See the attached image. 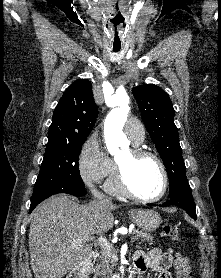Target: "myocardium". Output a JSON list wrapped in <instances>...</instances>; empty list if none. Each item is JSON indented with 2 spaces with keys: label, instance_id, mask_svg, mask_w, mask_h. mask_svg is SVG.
Returning a JSON list of instances; mask_svg holds the SVG:
<instances>
[{
  "label": "myocardium",
  "instance_id": "1",
  "mask_svg": "<svg viewBox=\"0 0 221 278\" xmlns=\"http://www.w3.org/2000/svg\"><path fill=\"white\" fill-rule=\"evenodd\" d=\"M130 154H131L132 158H134V159L149 157L156 161V163L158 164V166L161 170V173H162V178H163L162 189L158 195L153 196V197H145V196H141V195L137 194L133 190V188L131 187V185L127 179L125 168L122 165H120L118 162H116L115 178H116V184H117L119 190L125 196H127L133 200H137V201H141V202L152 203V202H157V201L161 200L167 193V190L169 187V175H168V171H167V168H166L163 160L156 153H154L150 150H147V149L139 148V147L131 148Z\"/></svg>",
  "mask_w": 221,
  "mask_h": 278
}]
</instances>
